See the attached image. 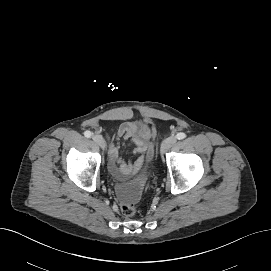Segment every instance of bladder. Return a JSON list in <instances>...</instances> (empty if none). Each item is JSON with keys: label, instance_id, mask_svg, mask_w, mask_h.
<instances>
[{"label": "bladder", "instance_id": "obj_1", "mask_svg": "<svg viewBox=\"0 0 271 271\" xmlns=\"http://www.w3.org/2000/svg\"><path fill=\"white\" fill-rule=\"evenodd\" d=\"M146 179L144 177L115 185V195L124 203L134 204L141 199Z\"/></svg>", "mask_w": 271, "mask_h": 271}]
</instances>
